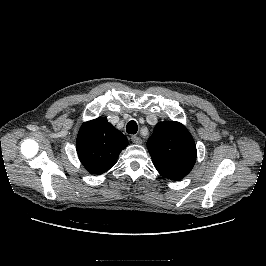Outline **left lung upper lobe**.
Returning <instances> with one entry per match:
<instances>
[{
    "mask_svg": "<svg viewBox=\"0 0 266 266\" xmlns=\"http://www.w3.org/2000/svg\"><path fill=\"white\" fill-rule=\"evenodd\" d=\"M147 148L157 171L171 180L184 178L196 162L194 139L176 121L159 122L147 141Z\"/></svg>",
    "mask_w": 266,
    "mask_h": 266,
    "instance_id": "left-lung-upper-lobe-1",
    "label": "left lung upper lobe"
}]
</instances>
